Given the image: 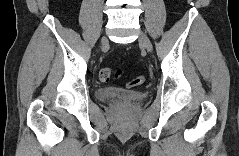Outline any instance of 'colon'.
Masks as SVG:
<instances>
[{"label":"colon","mask_w":239,"mask_h":156,"mask_svg":"<svg viewBox=\"0 0 239 156\" xmlns=\"http://www.w3.org/2000/svg\"><path fill=\"white\" fill-rule=\"evenodd\" d=\"M121 74V70L120 69H113L110 67H105L100 71V79L103 82L109 81L111 79H115L117 78L119 75ZM144 77L143 76H139L137 78L132 79L131 81H129L127 83L128 87H135V86H139L144 82Z\"/></svg>","instance_id":"colon-1"}]
</instances>
